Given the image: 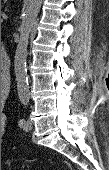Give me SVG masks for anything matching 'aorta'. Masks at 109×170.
Wrapping results in <instances>:
<instances>
[{
  "label": "aorta",
  "mask_w": 109,
  "mask_h": 170,
  "mask_svg": "<svg viewBox=\"0 0 109 170\" xmlns=\"http://www.w3.org/2000/svg\"><path fill=\"white\" fill-rule=\"evenodd\" d=\"M25 9L20 26V38L14 57V70L17 81L18 97L21 103L29 101V87L26 69L27 47L30 32L39 13L42 0H25Z\"/></svg>",
  "instance_id": "obj_1"
}]
</instances>
